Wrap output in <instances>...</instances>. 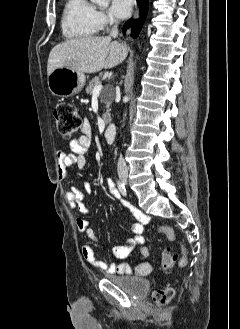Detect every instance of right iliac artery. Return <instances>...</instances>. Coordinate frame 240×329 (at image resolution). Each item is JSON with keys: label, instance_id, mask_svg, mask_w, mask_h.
<instances>
[{"label": "right iliac artery", "instance_id": "obj_1", "mask_svg": "<svg viewBox=\"0 0 240 329\" xmlns=\"http://www.w3.org/2000/svg\"><path fill=\"white\" fill-rule=\"evenodd\" d=\"M117 186H118V189L120 191V193L123 195V196H126L127 192H126V188L124 186L123 183H121L119 180L117 181Z\"/></svg>", "mask_w": 240, "mask_h": 329}]
</instances>
